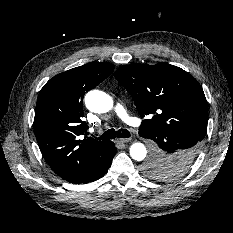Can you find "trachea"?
Segmentation results:
<instances>
[{
	"mask_svg": "<svg viewBox=\"0 0 233 233\" xmlns=\"http://www.w3.org/2000/svg\"><path fill=\"white\" fill-rule=\"evenodd\" d=\"M128 138L130 137V133L126 129H109L106 132H104L101 136L98 137L99 140H110L116 138Z\"/></svg>",
	"mask_w": 233,
	"mask_h": 233,
	"instance_id": "3493384b",
	"label": "trachea"
}]
</instances>
